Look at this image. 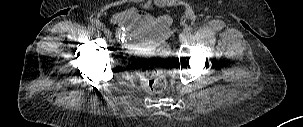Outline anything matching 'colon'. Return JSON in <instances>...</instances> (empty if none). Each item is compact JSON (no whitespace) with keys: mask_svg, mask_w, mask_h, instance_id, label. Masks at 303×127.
<instances>
[{"mask_svg":"<svg viewBox=\"0 0 303 127\" xmlns=\"http://www.w3.org/2000/svg\"><path fill=\"white\" fill-rule=\"evenodd\" d=\"M159 60H142L136 67L139 86L152 94L162 93L167 86L164 75L167 53L162 51Z\"/></svg>","mask_w":303,"mask_h":127,"instance_id":"obj_1","label":"colon"}]
</instances>
